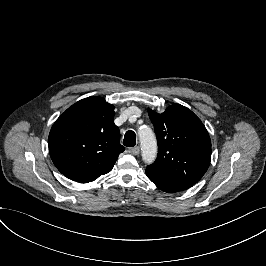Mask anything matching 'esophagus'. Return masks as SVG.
<instances>
[{
    "mask_svg": "<svg viewBox=\"0 0 266 266\" xmlns=\"http://www.w3.org/2000/svg\"><path fill=\"white\" fill-rule=\"evenodd\" d=\"M129 151L131 154L137 156L140 153V148L139 147H133Z\"/></svg>",
    "mask_w": 266,
    "mask_h": 266,
    "instance_id": "1",
    "label": "esophagus"
}]
</instances>
